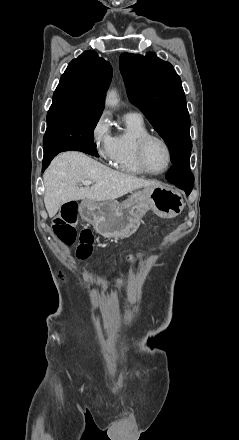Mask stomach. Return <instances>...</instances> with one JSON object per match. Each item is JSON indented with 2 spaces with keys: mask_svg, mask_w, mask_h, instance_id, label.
Segmentation results:
<instances>
[{
  "mask_svg": "<svg viewBox=\"0 0 239 440\" xmlns=\"http://www.w3.org/2000/svg\"><path fill=\"white\" fill-rule=\"evenodd\" d=\"M184 200L176 190L170 188H144L132 192L124 202L117 200H82L79 214L85 222L92 224L103 238H129L137 232L140 222L148 210L159 218H176L184 210Z\"/></svg>",
  "mask_w": 239,
  "mask_h": 440,
  "instance_id": "1",
  "label": "stomach"
}]
</instances>
